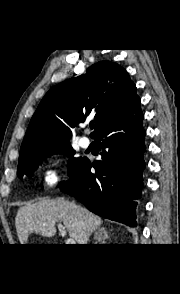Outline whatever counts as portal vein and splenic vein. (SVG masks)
I'll use <instances>...</instances> for the list:
<instances>
[{"mask_svg":"<svg viewBox=\"0 0 180 294\" xmlns=\"http://www.w3.org/2000/svg\"><path fill=\"white\" fill-rule=\"evenodd\" d=\"M58 229H59V232L60 234L64 237L66 236V230H65V227H63L61 224H58ZM66 244H69V245H74L76 244L75 240L73 238H69V239H66L65 241Z\"/></svg>","mask_w":180,"mask_h":294,"instance_id":"1","label":"portal vein and splenic vein"}]
</instances>
